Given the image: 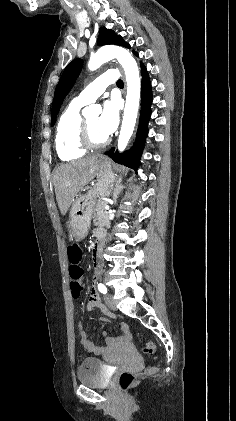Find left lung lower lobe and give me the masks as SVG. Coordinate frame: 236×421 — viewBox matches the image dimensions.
<instances>
[{"instance_id":"1","label":"left lung lower lobe","mask_w":236,"mask_h":421,"mask_svg":"<svg viewBox=\"0 0 236 421\" xmlns=\"http://www.w3.org/2000/svg\"><path fill=\"white\" fill-rule=\"evenodd\" d=\"M134 54L137 53L134 51ZM142 67V90H141V113L140 121L137 130L136 140L129 151L119 154L115 148H111L105 154L111 157L114 161L124 164L125 166L137 169L140 162V156L144 149L145 139L148 133V121L151 114L152 92L151 84L147 71L143 64Z\"/></svg>"}]
</instances>
